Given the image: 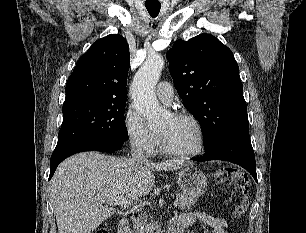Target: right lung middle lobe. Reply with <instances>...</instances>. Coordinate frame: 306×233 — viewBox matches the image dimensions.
<instances>
[{
	"label": "right lung middle lobe",
	"mask_w": 306,
	"mask_h": 233,
	"mask_svg": "<svg viewBox=\"0 0 306 233\" xmlns=\"http://www.w3.org/2000/svg\"><path fill=\"white\" fill-rule=\"evenodd\" d=\"M126 101L82 98L63 105V122L55 150L83 140L127 141Z\"/></svg>",
	"instance_id": "right-lung-middle-lobe-1"
}]
</instances>
